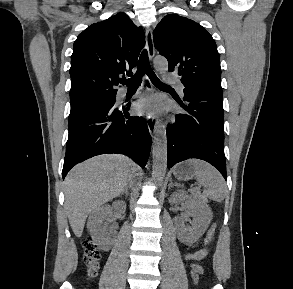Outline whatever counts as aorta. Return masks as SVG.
<instances>
[{
	"label": "aorta",
	"mask_w": 293,
	"mask_h": 289,
	"mask_svg": "<svg viewBox=\"0 0 293 289\" xmlns=\"http://www.w3.org/2000/svg\"><path fill=\"white\" fill-rule=\"evenodd\" d=\"M154 67L158 72L163 73L168 69V62L164 58H156ZM152 154V178L155 182L162 183L167 169V137L165 126L161 123L156 129Z\"/></svg>",
	"instance_id": "aorta-1"
}]
</instances>
